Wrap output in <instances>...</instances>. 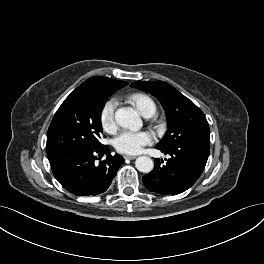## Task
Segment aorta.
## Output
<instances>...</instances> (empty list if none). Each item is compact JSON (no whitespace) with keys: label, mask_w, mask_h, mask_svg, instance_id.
Returning <instances> with one entry per match:
<instances>
[{"label":"aorta","mask_w":264,"mask_h":264,"mask_svg":"<svg viewBox=\"0 0 264 264\" xmlns=\"http://www.w3.org/2000/svg\"><path fill=\"white\" fill-rule=\"evenodd\" d=\"M116 122L132 131H138L142 127V120L136 110L131 107H122L115 112ZM135 166L142 173H149L153 170L154 162L148 156H140L135 161Z\"/></svg>","instance_id":"1"}]
</instances>
